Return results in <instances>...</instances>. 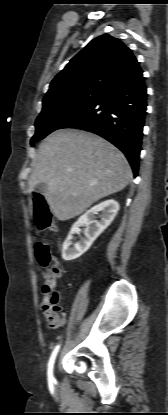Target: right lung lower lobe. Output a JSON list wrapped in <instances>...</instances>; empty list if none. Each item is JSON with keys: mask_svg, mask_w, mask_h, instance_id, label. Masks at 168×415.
<instances>
[{"mask_svg": "<svg viewBox=\"0 0 168 415\" xmlns=\"http://www.w3.org/2000/svg\"><path fill=\"white\" fill-rule=\"evenodd\" d=\"M142 73L138 64L110 83L94 102L59 128L81 129L105 138L125 154L135 177L147 106Z\"/></svg>", "mask_w": 168, "mask_h": 415, "instance_id": "obj_1", "label": "right lung lower lobe"}]
</instances>
